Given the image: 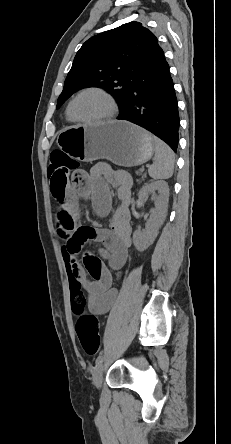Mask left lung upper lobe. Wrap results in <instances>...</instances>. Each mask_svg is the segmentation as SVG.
<instances>
[{
	"label": "left lung upper lobe",
	"instance_id": "1",
	"mask_svg": "<svg viewBox=\"0 0 231 444\" xmlns=\"http://www.w3.org/2000/svg\"><path fill=\"white\" fill-rule=\"evenodd\" d=\"M160 49L155 35L138 22L90 38L74 58L56 108L81 88L101 87L119 98L122 109L135 77Z\"/></svg>",
	"mask_w": 231,
	"mask_h": 444
}]
</instances>
